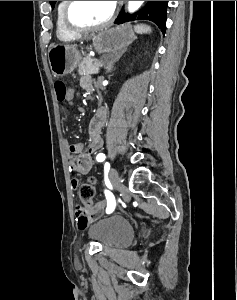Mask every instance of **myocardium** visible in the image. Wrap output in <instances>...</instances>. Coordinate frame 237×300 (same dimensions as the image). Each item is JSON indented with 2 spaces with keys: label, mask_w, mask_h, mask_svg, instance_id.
Returning <instances> with one entry per match:
<instances>
[{
  "label": "myocardium",
  "mask_w": 237,
  "mask_h": 300,
  "mask_svg": "<svg viewBox=\"0 0 237 300\" xmlns=\"http://www.w3.org/2000/svg\"><path fill=\"white\" fill-rule=\"evenodd\" d=\"M75 3H76V1H67L65 8H64V12H63L64 24L67 27V29L69 31H71L72 33L79 34V33H83V32L102 30V29H105V28L109 27L110 25H112L113 22L115 21V18L117 15L116 3L114 4V8H113V11H112L110 17L103 23L97 24V25H92V26H78V25L74 24L71 20V10Z\"/></svg>",
  "instance_id": "myocardium-1"
}]
</instances>
